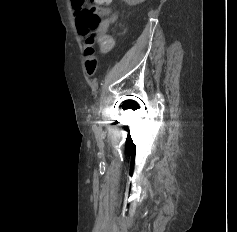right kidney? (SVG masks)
Here are the masks:
<instances>
[{"mask_svg": "<svg viewBox=\"0 0 237 232\" xmlns=\"http://www.w3.org/2000/svg\"><path fill=\"white\" fill-rule=\"evenodd\" d=\"M128 5L135 6L139 3L144 2L145 0H124Z\"/></svg>", "mask_w": 237, "mask_h": 232, "instance_id": "1", "label": "right kidney"}]
</instances>
